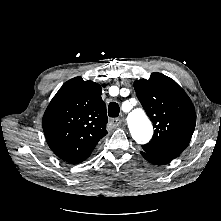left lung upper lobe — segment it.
I'll list each match as a JSON object with an SVG mask.
<instances>
[{
    "label": "left lung upper lobe",
    "instance_id": "5c2ea615",
    "mask_svg": "<svg viewBox=\"0 0 221 221\" xmlns=\"http://www.w3.org/2000/svg\"><path fill=\"white\" fill-rule=\"evenodd\" d=\"M136 95L153 122L154 135L143 151L177 158L188 146L196 124L194 106L171 78L154 72L148 80L134 82Z\"/></svg>",
    "mask_w": 221,
    "mask_h": 221
}]
</instances>
